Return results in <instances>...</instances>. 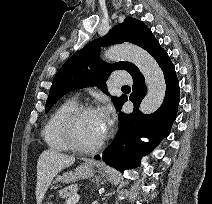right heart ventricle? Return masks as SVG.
Returning a JSON list of instances; mask_svg holds the SVG:
<instances>
[{
    "label": "right heart ventricle",
    "instance_id": "1",
    "mask_svg": "<svg viewBox=\"0 0 212 204\" xmlns=\"http://www.w3.org/2000/svg\"><path fill=\"white\" fill-rule=\"evenodd\" d=\"M75 106H77V101L75 99H67L62 102L48 118L43 128L42 135L45 143L50 149L57 152L71 150L62 136L60 124L64 115Z\"/></svg>",
    "mask_w": 212,
    "mask_h": 204
}]
</instances>
